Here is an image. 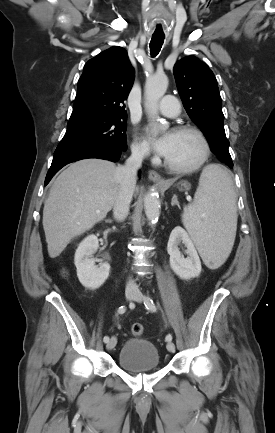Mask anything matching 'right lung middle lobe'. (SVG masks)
Returning a JSON list of instances; mask_svg holds the SVG:
<instances>
[{"mask_svg":"<svg viewBox=\"0 0 275 433\" xmlns=\"http://www.w3.org/2000/svg\"><path fill=\"white\" fill-rule=\"evenodd\" d=\"M126 117L84 116L70 118L67 131L56 148L83 149L102 146L127 148Z\"/></svg>","mask_w":275,"mask_h":433,"instance_id":"right-lung-middle-lobe-1","label":"right lung middle lobe"}]
</instances>
